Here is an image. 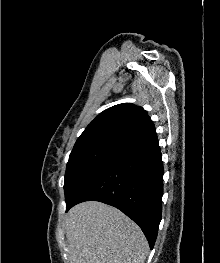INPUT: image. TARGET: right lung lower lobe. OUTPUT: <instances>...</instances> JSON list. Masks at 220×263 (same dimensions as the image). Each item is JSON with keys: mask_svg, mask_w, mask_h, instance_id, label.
<instances>
[{"mask_svg": "<svg viewBox=\"0 0 220 263\" xmlns=\"http://www.w3.org/2000/svg\"><path fill=\"white\" fill-rule=\"evenodd\" d=\"M163 162L157 135L121 150L79 192L72 206L96 200L120 209L154 247L162 212Z\"/></svg>", "mask_w": 220, "mask_h": 263, "instance_id": "right-lung-lower-lobe-1", "label": "right lung lower lobe"}]
</instances>
